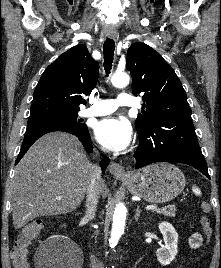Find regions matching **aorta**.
Instances as JSON below:
<instances>
[{
  "instance_id": "obj_1",
  "label": "aorta",
  "mask_w": 221,
  "mask_h": 268,
  "mask_svg": "<svg viewBox=\"0 0 221 268\" xmlns=\"http://www.w3.org/2000/svg\"><path fill=\"white\" fill-rule=\"evenodd\" d=\"M130 77L126 73H115L111 78V83L114 87L122 88L129 84ZM126 207L119 203L116 205L113 223H112V232L111 238L109 240L110 247H115L124 232L125 220H126Z\"/></svg>"
}]
</instances>
